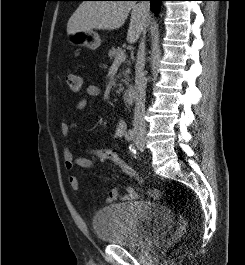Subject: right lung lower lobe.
I'll use <instances>...</instances> for the list:
<instances>
[{
    "mask_svg": "<svg viewBox=\"0 0 245 265\" xmlns=\"http://www.w3.org/2000/svg\"><path fill=\"white\" fill-rule=\"evenodd\" d=\"M127 1H141V0H127ZM145 1H150L152 11L156 12L158 10L159 3L165 0H145Z\"/></svg>",
    "mask_w": 245,
    "mask_h": 265,
    "instance_id": "obj_1",
    "label": "right lung lower lobe"
}]
</instances>
